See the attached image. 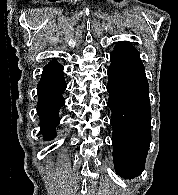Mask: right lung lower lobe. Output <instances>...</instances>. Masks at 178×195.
<instances>
[{
	"instance_id": "right-lung-lower-lobe-1",
	"label": "right lung lower lobe",
	"mask_w": 178,
	"mask_h": 195,
	"mask_svg": "<svg viewBox=\"0 0 178 195\" xmlns=\"http://www.w3.org/2000/svg\"><path fill=\"white\" fill-rule=\"evenodd\" d=\"M66 86L63 67L60 64L53 61L45 66L37 86L39 96L37 112L44 139L50 140L56 136L55 130L60 121L58 112L65 104L62 93Z\"/></svg>"
}]
</instances>
